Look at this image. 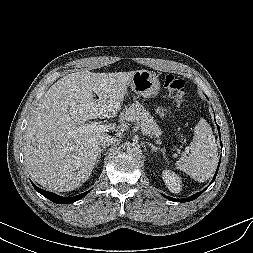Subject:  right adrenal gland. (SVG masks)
<instances>
[{
    "label": "right adrenal gland",
    "mask_w": 253,
    "mask_h": 253,
    "mask_svg": "<svg viewBox=\"0 0 253 253\" xmlns=\"http://www.w3.org/2000/svg\"><path fill=\"white\" fill-rule=\"evenodd\" d=\"M105 149H106V146H103L102 148H99V154H98V158H97V161H96V165L99 163L101 155H102V153Z\"/></svg>",
    "instance_id": "right-adrenal-gland-1"
}]
</instances>
